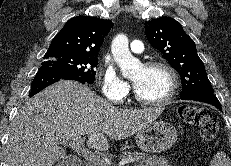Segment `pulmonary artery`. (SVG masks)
Returning a JSON list of instances; mask_svg holds the SVG:
<instances>
[{
    "instance_id": "e3ab8cb5",
    "label": "pulmonary artery",
    "mask_w": 231,
    "mask_h": 166,
    "mask_svg": "<svg viewBox=\"0 0 231 166\" xmlns=\"http://www.w3.org/2000/svg\"><path fill=\"white\" fill-rule=\"evenodd\" d=\"M129 47H130L131 52L135 54H141L144 51V44L140 40H133L130 43Z\"/></svg>"
}]
</instances>
